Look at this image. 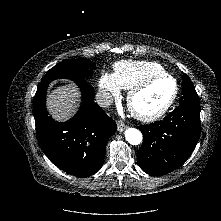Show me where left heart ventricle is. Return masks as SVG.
<instances>
[{"label": "left heart ventricle", "mask_w": 221, "mask_h": 221, "mask_svg": "<svg viewBox=\"0 0 221 221\" xmlns=\"http://www.w3.org/2000/svg\"><path fill=\"white\" fill-rule=\"evenodd\" d=\"M173 82L161 79L153 83L134 100V107L142 113H152L160 109L173 92Z\"/></svg>", "instance_id": "obj_1"}]
</instances>
